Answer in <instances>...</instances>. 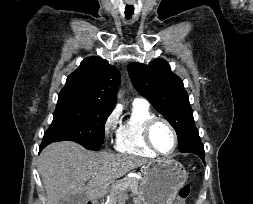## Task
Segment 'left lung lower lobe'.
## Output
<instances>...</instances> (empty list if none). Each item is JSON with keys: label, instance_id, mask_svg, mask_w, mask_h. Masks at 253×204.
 Listing matches in <instances>:
<instances>
[{"label": "left lung lower lobe", "instance_id": "1", "mask_svg": "<svg viewBox=\"0 0 253 204\" xmlns=\"http://www.w3.org/2000/svg\"><path fill=\"white\" fill-rule=\"evenodd\" d=\"M190 139H191V144L188 145L187 147L179 149V151L183 153H194L198 155L202 159V161L205 163L204 146L201 142V139L198 134V130L196 128L192 131Z\"/></svg>", "mask_w": 253, "mask_h": 204}]
</instances>
